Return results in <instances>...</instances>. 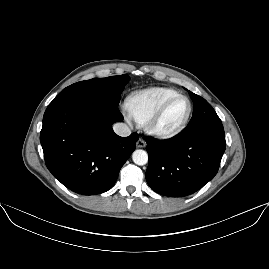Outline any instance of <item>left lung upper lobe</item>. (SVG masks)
I'll return each instance as SVG.
<instances>
[{
  "label": "left lung upper lobe",
  "instance_id": "1",
  "mask_svg": "<svg viewBox=\"0 0 269 269\" xmlns=\"http://www.w3.org/2000/svg\"><path fill=\"white\" fill-rule=\"evenodd\" d=\"M193 100V115L184 131L193 130L209 124H221L213 107L201 96L188 91Z\"/></svg>",
  "mask_w": 269,
  "mask_h": 269
}]
</instances>
